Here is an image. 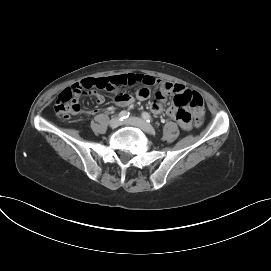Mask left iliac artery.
Returning <instances> with one entry per match:
<instances>
[{
    "label": "left iliac artery",
    "instance_id": "1",
    "mask_svg": "<svg viewBox=\"0 0 271 271\" xmlns=\"http://www.w3.org/2000/svg\"><path fill=\"white\" fill-rule=\"evenodd\" d=\"M142 117L147 121V122H152V118L147 112L142 113Z\"/></svg>",
    "mask_w": 271,
    "mask_h": 271
}]
</instances>
